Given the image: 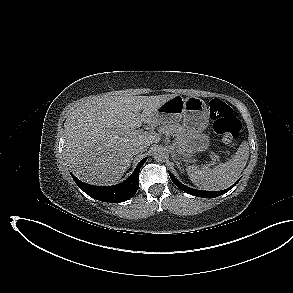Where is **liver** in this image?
I'll return each instance as SVG.
<instances>
[{
    "label": "liver",
    "mask_w": 293,
    "mask_h": 293,
    "mask_svg": "<svg viewBox=\"0 0 293 293\" xmlns=\"http://www.w3.org/2000/svg\"><path fill=\"white\" fill-rule=\"evenodd\" d=\"M174 96L105 94L78 106L64 123V156L69 168L89 184L118 183L133 160L134 147L147 148L160 140L158 135L136 129L142 123L154 128V113Z\"/></svg>",
    "instance_id": "liver-1"
}]
</instances>
